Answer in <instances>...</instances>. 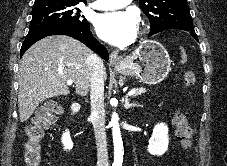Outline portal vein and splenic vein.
<instances>
[{"mask_svg": "<svg viewBox=\"0 0 227 166\" xmlns=\"http://www.w3.org/2000/svg\"><path fill=\"white\" fill-rule=\"evenodd\" d=\"M73 81L72 80H68L67 81V85H72ZM136 92L134 90H131L128 92V96H133Z\"/></svg>", "mask_w": 227, "mask_h": 166, "instance_id": "obj_1", "label": "portal vein and splenic vein"}]
</instances>
